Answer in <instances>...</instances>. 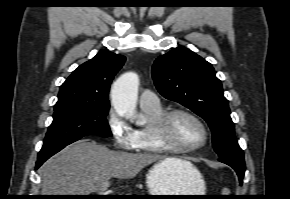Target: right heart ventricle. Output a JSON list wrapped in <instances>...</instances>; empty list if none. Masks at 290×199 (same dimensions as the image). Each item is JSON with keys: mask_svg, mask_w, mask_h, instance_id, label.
<instances>
[{"mask_svg": "<svg viewBox=\"0 0 290 199\" xmlns=\"http://www.w3.org/2000/svg\"><path fill=\"white\" fill-rule=\"evenodd\" d=\"M149 122L134 130L135 145L133 150L145 154H164L167 151L158 145L153 136V123L164 114L163 108L141 107Z\"/></svg>", "mask_w": 290, "mask_h": 199, "instance_id": "right-heart-ventricle-1", "label": "right heart ventricle"}]
</instances>
